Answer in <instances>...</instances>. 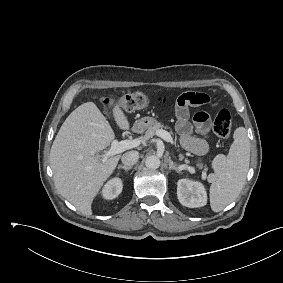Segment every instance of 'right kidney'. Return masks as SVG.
<instances>
[{"instance_id": "1", "label": "right kidney", "mask_w": 283, "mask_h": 283, "mask_svg": "<svg viewBox=\"0 0 283 283\" xmlns=\"http://www.w3.org/2000/svg\"><path fill=\"white\" fill-rule=\"evenodd\" d=\"M122 188L123 185L120 178H113L109 180L102 190L103 198L108 200L116 198L121 193Z\"/></svg>"}]
</instances>
